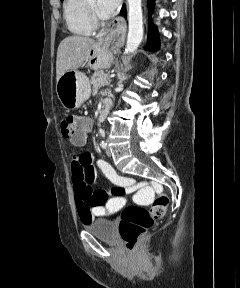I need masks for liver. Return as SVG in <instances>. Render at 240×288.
Instances as JSON below:
<instances>
[{
	"label": "liver",
	"mask_w": 240,
	"mask_h": 288,
	"mask_svg": "<svg viewBox=\"0 0 240 288\" xmlns=\"http://www.w3.org/2000/svg\"><path fill=\"white\" fill-rule=\"evenodd\" d=\"M94 39L84 36H69L58 47L56 60V80L67 71L77 70L85 64L87 54Z\"/></svg>",
	"instance_id": "1"
}]
</instances>
